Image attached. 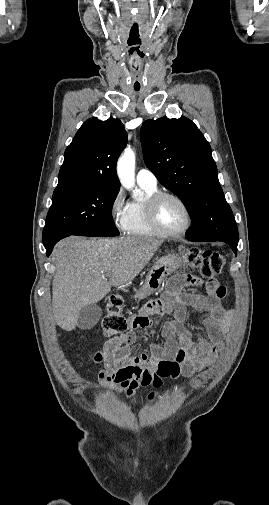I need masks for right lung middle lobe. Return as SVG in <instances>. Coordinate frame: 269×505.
Masks as SVG:
<instances>
[{"label": "right lung middle lobe", "mask_w": 269, "mask_h": 505, "mask_svg": "<svg viewBox=\"0 0 269 505\" xmlns=\"http://www.w3.org/2000/svg\"><path fill=\"white\" fill-rule=\"evenodd\" d=\"M119 188L69 185L54 190L43 242L62 235L118 236L111 211Z\"/></svg>", "instance_id": "right-lung-middle-lobe-1"}]
</instances>
